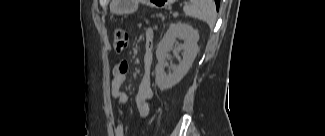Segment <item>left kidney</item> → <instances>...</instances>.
Returning a JSON list of instances; mask_svg holds the SVG:
<instances>
[{
  "label": "left kidney",
  "mask_w": 325,
  "mask_h": 136,
  "mask_svg": "<svg viewBox=\"0 0 325 136\" xmlns=\"http://www.w3.org/2000/svg\"><path fill=\"white\" fill-rule=\"evenodd\" d=\"M176 38L182 39L184 43L177 44ZM198 40L199 33L191 25L181 22L170 25L156 49L158 64L155 67V81L160 90L172 88L187 74L198 53ZM173 47L177 51H183V59L172 73H166L165 59L169 49Z\"/></svg>",
  "instance_id": "5707ae66"
}]
</instances>
